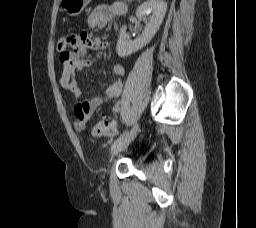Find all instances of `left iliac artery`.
<instances>
[{"label": "left iliac artery", "instance_id": "44dca946", "mask_svg": "<svg viewBox=\"0 0 256 228\" xmlns=\"http://www.w3.org/2000/svg\"><path fill=\"white\" fill-rule=\"evenodd\" d=\"M126 132H127V131L125 130V131L123 132V134H121V135L115 140V142L118 141V140H120L121 137H122ZM115 142H114V143H115Z\"/></svg>", "mask_w": 256, "mask_h": 228}]
</instances>
